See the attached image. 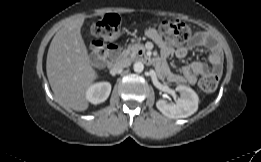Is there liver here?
I'll list each match as a JSON object with an SVG mask.
<instances>
[{"mask_svg": "<svg viewBox=\"0 0 261 162\" xmlns=\"http://www.w3.org/2000/svg\"><path fill=\"white\" fill-rule=\"evenodd\" d=\"M84 18L66 23L53 37L47 54L46 71L58 101L75 111H84L89 104L87 89L98 75L81 35Z\"/></svg>", "mask_w": 261, "mask_h": 162, "instance_id": "liver-1", "label": "liver"}]
</instances>
